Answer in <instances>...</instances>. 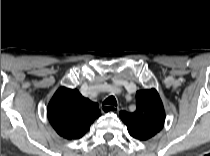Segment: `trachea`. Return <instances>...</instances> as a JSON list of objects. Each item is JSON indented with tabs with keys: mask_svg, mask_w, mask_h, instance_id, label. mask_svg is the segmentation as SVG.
I'll return each mask as SVG.
<instances>
[{
	"mask_svg": "<svg viewBox=\"0 0 210 156\" xmlns=\"http://www.w3.org/2000/svg\"><path fill=\"white\" fill-rule=\"evenodd\" d=\"M103 104L117 106V101L114 96H109L107 99L104 100Z\"/></svg>",
	"mask_w": 210,
	"mask_h": 156,
	"instance_id": "3493384b",
	"label": "trachea"
}]
</instances>
